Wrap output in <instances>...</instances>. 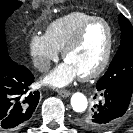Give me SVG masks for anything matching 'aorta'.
<instances>
[{"mask_svg": "<svg viewBox=\"0 0 133 133\" xmlns=\"http://www.w3.org/2000/svg\"><path fill=\"white\" fill-rule=\"evenodd\" d=\"M71 105L75 112L83 113L86 111L88 102L84 94L76 92L71 97Z\"/></svg>", "mask_w": 133, "mask_h": 133, "instance_id": "obj_1", "label": "aorta"}]
</instances>
